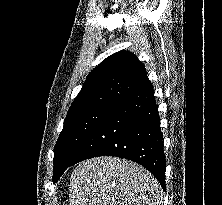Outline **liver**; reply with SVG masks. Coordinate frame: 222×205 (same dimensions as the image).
<instances>
[{"instance_id": "obj_1", "label": "liver", "mask_w": 222, "mask_h": 205, "mask_svg": "<svg viewBox=\"0 0 222 205\" xmlns=\"http://www.w3.org/2000/svg\"><path fill=\"white\" fill-rule=\"evenodd\" d=\"M70 205H162L156 178L142 166L116 157L78 164L70 178Z\"/></svg>"}]
</instances>
